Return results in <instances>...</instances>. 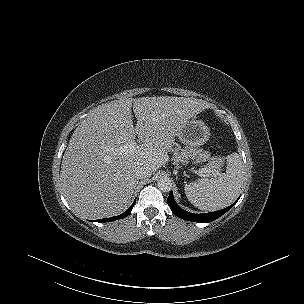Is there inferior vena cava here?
Returning <instances> with one entry per match:
<instances>
[{"instance_id":"602c4592","label":"inferior vena cava","mask_w":304,"mask_h":304,"mask_svg":"<svg viewBox=\"0 0 304 304\" xmlns=\"http://www.w3.org/2000/svg\"><path fill=\"white\" fill-rule=\"evenodd\" d=\"M134 174L137 179H145L152 175V170L150 167L142 165L135 169Z\"/></svg>"}]
</instances>
